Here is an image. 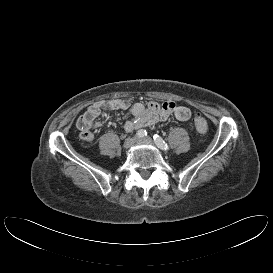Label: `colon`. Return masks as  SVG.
<instances>
[{"label": "colon", "instance_id": "obj_1", "mask_svg": "<svg viewBox=\"0 0 273 273\" xmlns=\"http://www.w3.org/2000/svg\"><path fill=\"white\" fill-rule=\"evenodd\" d=\"M194 125L197 131H199L200 133H206L208 131V122L201 115H197L194 117Z\"/></svg>", "mask_w": 273, "mask_h": 273}]
</instances>
